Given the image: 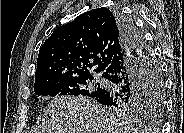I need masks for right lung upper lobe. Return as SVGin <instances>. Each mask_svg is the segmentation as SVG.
<instances>
[{"label": "right lung upper lobe", "mask_w": 184, "mask_h": 133, "mask_svg": "<svg viewBox=\"0 0 184 133\" xmlns=\"http://www.w3.org/2000/svg\"><path fill=\"white\" fill-rule=\"evenodd\" d=\"M121 31L115 12L87 11L58 27L41 46L35 85L56 79L82 77L104 71L121 52Z\"/></svg>", "instance_id": "right-lung-upper-lobe-1"}]
</instances>
